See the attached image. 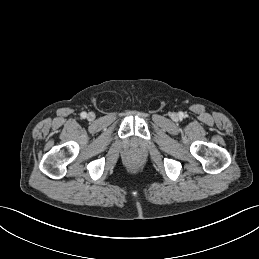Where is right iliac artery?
I'll use <instances>...</instances> for the list:
<instances>
[{
	"label": "right iliac artery",
	"mask_w": 259,
	"mask_h": 259,
	"mask_svg": "<svg viewBox=\"0 0 259 259\" xmlns=\"http://www.w3.org/2000/svg\"><path fill=\"white\" fill-rule=\"evenodd\" d=\"M80 116H81V118H86V116H87V113L86 112H82L81 114H80Z\"/></svg>",
	"instance_id": "1"
}]
</instances>
